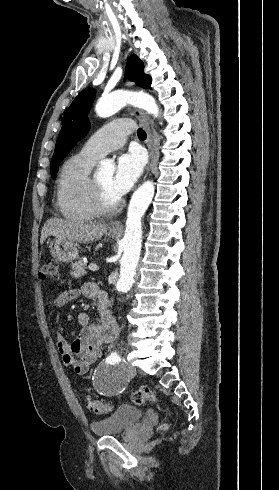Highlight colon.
Returning a JSON list of instances; mask_svg holds the SVG:
<instances>
[{
  "label": "colon",
  "mask_w": 279,
  "mask_h": 490,
  "mask_svg": "<svg viewBox=\"0 0 279 490\" xmlns=\"http://www.w3.org/2000/svg\"><path fill=\"white\" fill-rule=\"evenodd\" d=\"M58 263L56 260H50L45 263L40 270L42 278L57 277ZM132 402L136 405H142L145 401L160 403L159 397L150 388H143L133 392L131 396ZM88 408L97 415H109L114 410V406L107 400H97L88 398Z\"/></svg>",
  "instance_id": "1"
}]
</instances>
